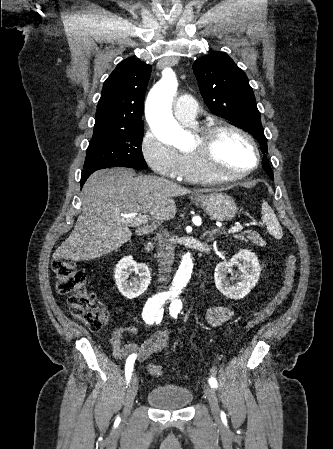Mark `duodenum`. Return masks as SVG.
<instances>
[{
    "instance_id": "obj_1",
    "label": "duodenum",
    "mask_w": 333,
    "mask_h": 449,
    "mask_svg": "<svg viewBox=\"0 0 333 449\" xmlns=\"http://www.w3.org/2000/svg\"><path fill=\"white\" fill-rule=\"evenodd\" d=\"M147 249H148V250L152 249V245L149 244V245L147 246Z\"/></svg>"
}]
</instances>
